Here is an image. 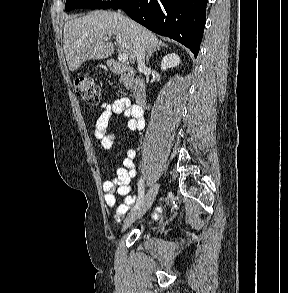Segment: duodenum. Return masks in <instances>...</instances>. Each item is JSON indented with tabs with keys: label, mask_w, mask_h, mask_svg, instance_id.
I'll return each instance as SVG.
<instances>
[{
	"label": "duodenum",
	"mask_w": 288,
	"mask_h": 293,
	"mask_svg": "<svg viewBox=\"0 0 288 293\" xmlns=\"http://www.w3.org/2000/svg\"><path fill=\"white\" fill-rule=\"evenodd\" d=\"M108 65L111 72L119 75L123 83L134 93L137 106L143 108L147 103V89L143 80L136 78L130 67L115 59H110Z\"/></svg>",
	"instance_id": "410a0bca"
}]
</instances>
